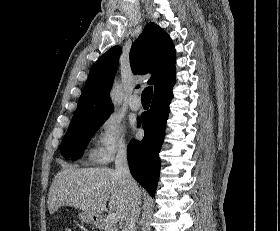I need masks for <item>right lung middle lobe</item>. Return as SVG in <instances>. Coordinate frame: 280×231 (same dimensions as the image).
I'll return each instance as SVG.
<instances>
[{"label":"right lung middle lobe","mask_w":280,"mask_h":231,"mask_svg":"<svg viewBox=\"0 0 280 231\" xmlns=\"http://www.w3.org/2000/svg\"><path fill=\"white\" fill-rule=\"evenodd\" d=\"M107 118L71 124L62 141L61 154L64 155L65 158L79 159L92 135Z\"/></svg>","instance_id":"dd1d6c3e"}]
</instances>
